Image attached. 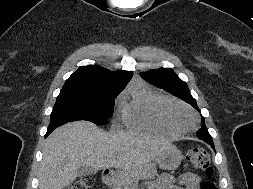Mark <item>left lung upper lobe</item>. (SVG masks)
Returning a JSON list of instances; mask_svg holds the SVG:
<instances>
[{
  "instance_id": "obj_1",
  "label": "left lung upper lobe",
  "mask_w": 253,
  "mask_h": 189,
  "mask_svg": "<svg viewBox=\"0 0 253 189\" xmlns=\"http://www.w3.org/2000/svg\"><path fill=\"white\" fill-rule=\"evenodd\" d=\"M140 75L144 80H146L150 84L158 88L164 89L165 91L186 101L194 108H196L198 111H200V109L196 104V100L190 94L187 84L182 80H180L172 69L160 68L156 70L142 72ZM198 133L210 137L204 122L202 123V127L198 131Z\"/></svg>"
}]
</instances>
